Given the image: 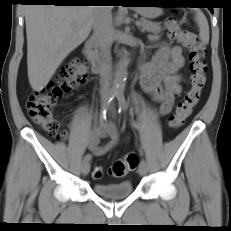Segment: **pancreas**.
<instances>
[{
    "label": "pancreas",
    "mask_w": 231,
    "mask_h": 231,
    "mask_svg": "<svg viewBox=\"0 0 231 231\" xmlns=\"http://www.w3.org/2000/svg\"><path fill=\"white\" fill-rule=\"evenodd\" d=\"M141 31H147L150 33H160L161 27L160 24L151 22L149 20L141 19L140 21Z\"/></svg>",
    "instance_id": "1"
}]
</instances>
